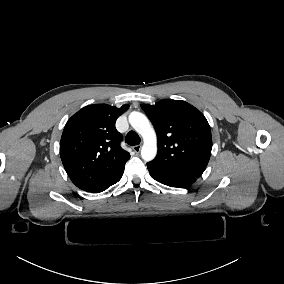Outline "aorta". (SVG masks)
Wrapping results in <instances>:
<instances>
[{
    "label": "aorta",
    "mask_w": 284,
    "mask_h": 284,
    "mask_svg": "<svg viewBox=\"0 0 284 284\" xmlns=\"http://www.w3.org/2000/svg\"><path fill=\"white\" fill-rule=\"evenodd\" d=\"M131 126L143 137L144 144L141 149L142 159L151 161L157 154L156 133L148 118L140 112H132L129 115Z\"/></svg>",
    "instance_id": "762f6f07"
}]
</instances>
